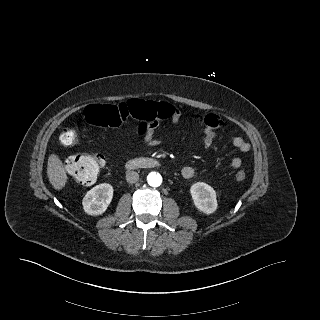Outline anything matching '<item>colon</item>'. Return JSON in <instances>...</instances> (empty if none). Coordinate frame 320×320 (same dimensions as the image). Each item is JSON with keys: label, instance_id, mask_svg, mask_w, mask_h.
Instances as JSON below:
<instances>
[{"label": "colon", "instance_id": "1", "mask_svg": "<svg viewBox=\"0 0 320 320\" xmlns=\"http://www.w3.org/2000/svg\"><path fill=\"white\" fill-rule=\"evenodd\" d=\"M172 108L169 104L145 102L134 99L125 104H92L89 105L82 117V122L98 127H119L128 117L140 122L158 123L161 119L170 116ZM60 141L65 146H73L78 141L74 127L63 130ZM105 164L102 155L74 154L66 161V169L79 183L90 184L95 181ZM246 178L244 171L236 173V179L243 181Z\"/></svg>", "mask_w": 320, "mask_h": 320}]
</instances>
